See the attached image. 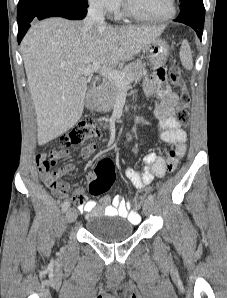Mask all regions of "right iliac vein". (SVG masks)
I'll return each instance as SVG.
<instances>
[{
	"instance_id": "1",
	"label": "right iliac vein",
	"mask_w": 227,
	"mask_h": 298,
	"mask_svg": "<svg viewBox=\"0 0 227 298\" xmlns=\"http://www.w3.org/2000/svg\"><path fill=\"white\" fill-rule=\"evenodd\" d=\"M78 216V212L75 208H70L67 212H66V219L69 223H72L76 220Z\"/></svg>"
}]
</instances>
